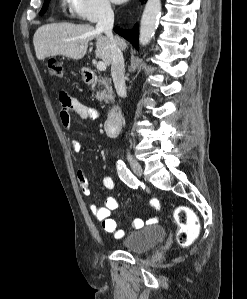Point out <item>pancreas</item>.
Wrapping results in <instances>:
<instances>
[{"mask_svg": "<svg viewBox=\"0 0 247 299\" xmlns=\"http://www.w3.org/2000/svg\"><path fill=\"white\" fill-rule=\"evenodd\" d=\"M97 85L101 87L100 90L97 91L96 99L100 102L105 101L108 102L109 100L113 99V90L111 83L108 79L100 77L95 80L94 86Z\"/></svg>", "mask_w": 247, "mask_h": 299, "instance_id": "1", "label": "pancreas"}]
</instances>
